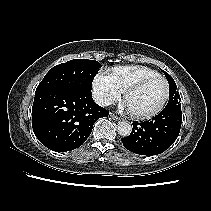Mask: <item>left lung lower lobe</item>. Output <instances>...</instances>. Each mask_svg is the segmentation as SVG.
Masks as SVG:
<instances>
[{"label": "left lung lower lobe", "instance_id": "0a47b994", "mask_svg": "<svg viewBox=\"0 0 211 211\" xmlns=\"http://www.w3.org/2000/svg\"><path fill=\"white\" fill-rule=\"evenodd\" d=\"M181 123V105L166 106L152 120L133 123L131 134L121 140L124 147L133 153L157 155L175 142Z\"/></svg>", "mask_w": 211, "mask_h": 211}]
</instances>
